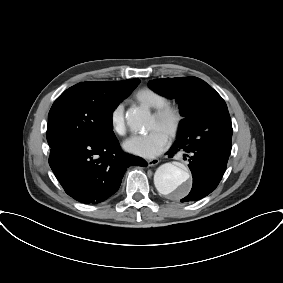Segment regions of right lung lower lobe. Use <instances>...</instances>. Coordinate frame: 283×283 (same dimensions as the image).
<instances>
[{
	"label": "right lung lower lobe",
	"instance_id": "1",
	"mask_svg": "<svg viewBox=\"0 0 283 283\" xmlns=\"http://www.w3.org/2000/svg\"><path fill=\"white\" fill-rule=\"evenodd\" d=\"M50 147L49 164L65 192L87 204L113 196L128 167L147 165L142 158L121 151L115 136L101 142H58Z\"/></svg>",
	"mask_w": 283,
	"mask_h": 283
}]
</instances>
